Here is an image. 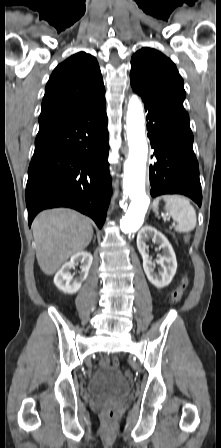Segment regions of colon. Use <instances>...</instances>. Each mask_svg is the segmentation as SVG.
<instances>
[{"mask_svg":"<svg viewBox=\"0 0 221 448\" xmlns=\"http://www.w3.org/2000/svg\"><path fill=\"white\" fill-rule=\"evenodd\" d=\"M187 283H188L187 278L184 277L182 279L181 283L179 284V286L173 292L172 300L174 303H177L180 301L185 289L187 288ZM109 363H110V361L107 358H103L100 361V364L103 366H107ZM119 363L120 362L117 358L112 360V365L115 367L119 366ZM124 374L127 378L131 377V372L129 370H126ZM103 417L105 420L112 421L116 418V411L111 407H107L103 410Z\"/></svg>","mask_w":221,"mask_h":448,"instance_id":"1","label":"colon"}]
</instances>
